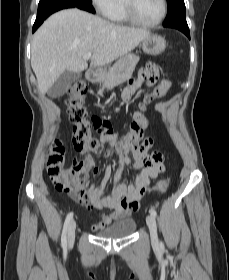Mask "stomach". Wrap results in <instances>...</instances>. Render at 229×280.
<instances>
[{
    "mask_svg": "<svg viewBox=\"0 0 229 280\" xmlns=\"http://www.w3.org/2000/svg\"><path fill=\"white\" fill-rule=\"evenodd\" d=\"M141 46L146 54L158 55L164 51L166 42L160 35H149L142 41Z\"/></svg>",
    "mask_w": 229,
    "mask_h": 280,
    "instance_id": "1",
    "label": "stomach"
}]
</instances>
